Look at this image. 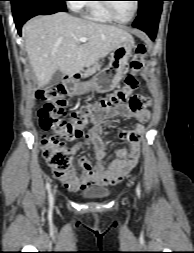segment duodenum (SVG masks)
I'll use <instances>...</instances> for the list:
<instances>
[{
  "label": "duodenum",
  "mask_w": 194,
  "mask_h": 253,
  "mask_svg": "<svg viewBox=\"0 0 194 253\" xmlns=\"http://www.w3.org/2000/svg\"><path fill=\"white\" fill-rule=\"evenodd\" d=\"M82 73H73L71 75H67L64 78V81L67 85L71 84L74 80H77L78 78H82Z\"/></svg>",
  "instance_id": "obj_1"
}]
</instances>
